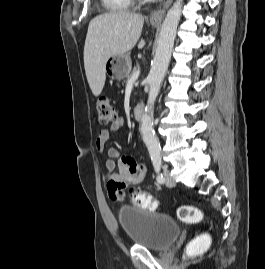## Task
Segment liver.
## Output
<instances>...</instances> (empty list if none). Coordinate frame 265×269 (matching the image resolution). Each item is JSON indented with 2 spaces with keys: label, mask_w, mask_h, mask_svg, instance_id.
Listing matches in <instances>:
<instances>
[{
  "label": "liver",
  "mask_w": 265,
  "mask_h": 269,
  "mask_svg": "<svg viewBox=\"0 0 265 269\" xmlns=\"http://www.w3.org/2000/svg\"><path fill=\"white\" fill-rule=\"evenodd\" d=\"M144 24L141 14L117 11L93 18L88 26L84 46V67L94 96H99L106 79V62L113 55H123L137 44ZM145 41L141 39L138 48Z\"/></svg>",
  "instance_id": "obj_1"
}]
</instances>
